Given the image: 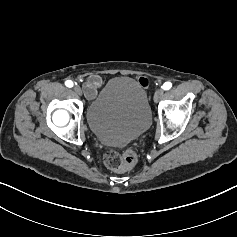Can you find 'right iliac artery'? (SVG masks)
I'll return each mask as SVG.
<instances>
[{
  "mask_svg": "<svg viewBox=\"0 0 237 237\" xmlns=\"http://www.w3.org/2000/svg\"><path fill=\"white\" fill-rule=\"evenodd\" d=\"M65 85H66L67 87L71 88V87H73V82H72L71 80H67V81L65 82Z\"/></svg>",
  "mask_w": 237,
  "mask_h": 237,
  "instance_id": "82829eb1",
  "label": "right iliac artery"
}]
</instances>
